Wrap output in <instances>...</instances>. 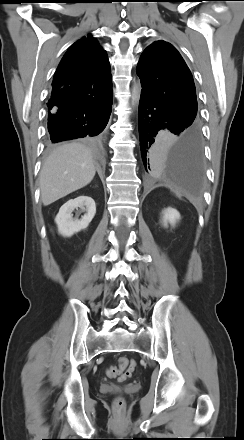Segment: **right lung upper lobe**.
Wrapping results in <instances>:
<instances>
[{
	"instance_id": "1",
	"label": "right lung upper lobe",
	"mask_w": 244,
	"mask_h": 440,
	"mask_svg": "<svg viewBox=\"0 0 244 440\" xmlns=\"http://www.w3.org/2000/svg\"><path fill=\"white\" fill-rule=\"evenodd\" d=\"M111 96L106 52L91 35L83 37L68 49L55 72L49 114L93 108Z\"/></svg>"
}]
</instances>
